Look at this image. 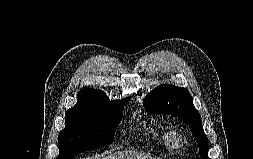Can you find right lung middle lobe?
Returning <instances> with one entry per match:
<instances>
[{
	"mask_svg": "<svg viewBox=\"0 0 253 159\" xmlns=\"http://www.w3.org/2000/svg\"><path fill=\"white\" fill-rule=\"evenodd\" d=\"M129 100L77 103L70 108L65 115L66 127L58 136L56 159H72L80 152L113 142L114 132L122 120V109Z\"/></svg>",
	"mask_w": 253,
	"mask_h": 159,
	"instance_id": "1",
	"label": "right lung middle lobe"
}]
</instances>
